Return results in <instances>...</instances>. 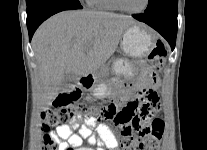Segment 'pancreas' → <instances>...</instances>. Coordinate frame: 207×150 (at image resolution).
<instances>
[{
  "label": "pancreas",
  "instance_id": "pancreas-1",
  "mask_svg": "<svg viewBox=\"0 0 207 150\" xmlns=\"http://www.w3.org/2000/svg\"><path fill=\"white\" fill-rule=\"evenodd\" d=\"M101 74L104 75V76H106L108 73L103 70V71H101Z\"/></svg>",
  "mask_w": 207,
  "mask_h": 150
}]
</instances>
